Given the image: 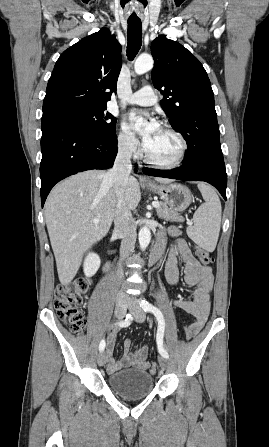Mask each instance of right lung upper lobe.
I'll list each match as a JSON object with an SVG mask.
<instances>
[{
    "instance_id": "1",
    "label": "right lung upper lobe",
    "mask_w": 269,
    "mask_h": 447,
    "mask_svg": "<svg viewBox=\"0 0 269 447\" xmlns=\"http://www.w3.org/2000/svg\"><path fill=\"white\" fill-rule=\"evenodd\" d=\"M121 50L115 36L102 28L64 51L49 79L43 114L64 106L107 107L117 87Z\"/></svg>"
}]
</instances>
